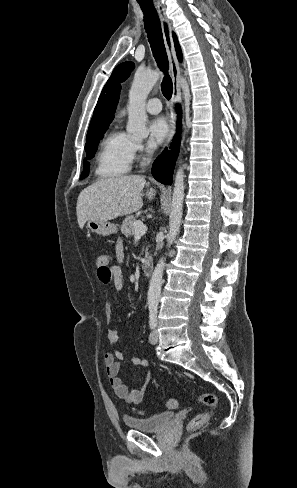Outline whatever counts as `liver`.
<instances>
[{
  "instance_id": "obj_1",
  "label": "liver",
  "mask_w": 297,
  "mask_h": 488,
  "mask_svg": "<svg viewBox=\"0 0 297 488\" xmlns=\"http://www.w3.org/2000/svg\"><path fill=\"white\" fill-rule=\"evenodd\" d=\"M146 184L138 175L100 179L81 191L77 200V220L82 229L88 220L109 221L132 214L143 206L141 192ZM155 190H147L151 201Z\"/></svg>"
}]
</instances>
